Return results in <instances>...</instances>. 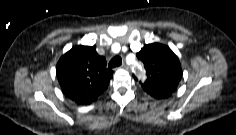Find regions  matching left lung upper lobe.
<instances>
[{
    "mask_svg": "<svg viewBox=\"0 0 236 135\" xmlns=\"http://www.w3.org/2000/svg\"><path fill=\"white\" fill-rule=\"evenodd\" d=\"M137 58L144 63L147 79L142 88L155 98L170 96L182 77L178 57L166 45L152 43L145 45Z\"/></svg>",
    "mask_w": 236,
    "mask_h": 135,
    "instance_id": "5c2ea615",
    "label": "left lung upper lobe"
}]
</instances>
